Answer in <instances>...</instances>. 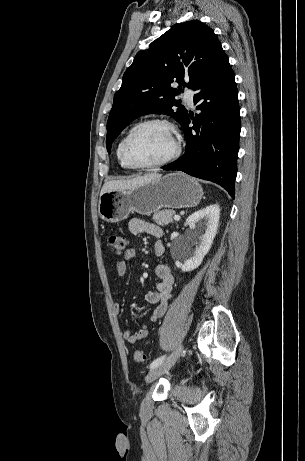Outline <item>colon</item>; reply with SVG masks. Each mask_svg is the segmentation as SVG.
<instances>
[{
    "instance_id": "1",
    "label": "colon",
    "mask_w": 305,
    "mask_h": 461,
    "mask_svg": "<svg viewBox=\"0 0 305 461\" xmlns=\"http://www.w3.org/2000/svg\"><path fill=\"white\" fill-rule=\"evenodd\" d=\"M108 244L115 254L121 255L126 250L127 239L125 236L112 234L108 237ZM133 359L136 362H143L146 356L141 349H135L133 351Z\"/></svg>"
}]
</instances>
